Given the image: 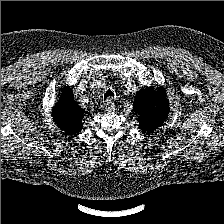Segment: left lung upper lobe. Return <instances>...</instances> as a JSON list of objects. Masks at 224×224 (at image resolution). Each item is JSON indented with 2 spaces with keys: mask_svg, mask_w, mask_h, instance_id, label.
Listing matches in <instances>:
<instances>
[{
  "mask_svg": "<svg viewBox=\"0 0 224 224\" xmlns=\"http://www.w3.org/2000/svg\"><path fill=\"white\" fill-rule=\"evenodd\" d=\"M139 115V128L143 133H154L163 125L169 113V103L163 87L154 90L148 87L140 90L133 104ZM153 135V134H152Z\"/></svg>",
  "mask_w": 224,
  "mask_h": 224,
  "instance_id": "left-lung-upper-lobe-1",
  "label": "left lung upper lobe"
}]
</instances>
